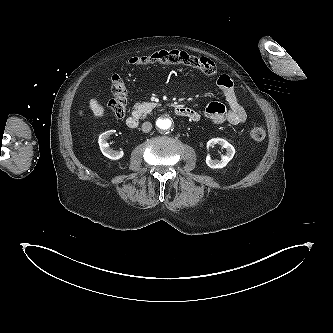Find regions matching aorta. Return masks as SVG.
<instances>
[{
  "label": "aorta",
  "instance_id": "1",
  "mask_svg": "<svg viewBox=\"0 0 333 333\" xmlns=\"http://www.w3.org/2000/svg\"><path fill=\"white\" fill-rule=\"evenodd\" d=\"M156 125L160 131H168L171 128L172 122L169 118H160L157 120Z\"/></svg>",
  "mask_w": 333,
  "mask_h": 333
}]
</instances>
